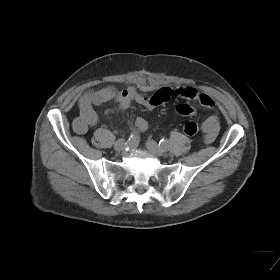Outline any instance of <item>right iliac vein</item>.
<instances>
[{
  "instance_id": "63e3f726",
  "label": "right iliac vein",
  "mask_w": 280,
  "mask_h": 280,
  "mask_svg": "<svg viewBox=\"0 0 280 280\" xmlns=\"http://www.w3.org/2000/svg\"><path fill=\"white\" fill-rule=\"evenodd\" d=\"M124 148H125V140L124 139L117 140L114 145L115 151L121 152L122 150H124Z\"/></svg>"
}]
</instances>
